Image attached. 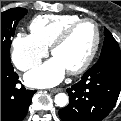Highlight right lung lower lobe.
Wrapping results in <instances>:
<instances>
[{
	"label": "right lung lower lobe",
	"mask_w": 121,
	"mask_h": 121,
	"mask_svg": "<svg viewBox=\"0 0 121 121\" xmlns=\"http://www.w3.org/2000/svg\"><path fill=\"white\" fill-rule=\"evenodd\" d=\"M20 81L10 60H1V121H22L36 91L18 89Z\"/></svg>",
	"instance_id": "obj_1"
}]
</instances>
